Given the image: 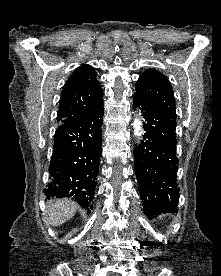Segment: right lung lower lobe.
<instances>
[{"mask_svg":"<svg viewBox=\"0 0 221 276\" xmlns=\"http://www.w3.org/2000/svg\"><path fill=\"white\" fill-rule=\"evenodd\" d=\"M103 103L83 120L59 125L49 166L46 196L72 197L93 206L102 148ZM89 212V210H87Z\"/></svg>","mask_w":221,"mask_h":276,"instance_id":"1","label":"right lung lower lobe"}]
</instances>
